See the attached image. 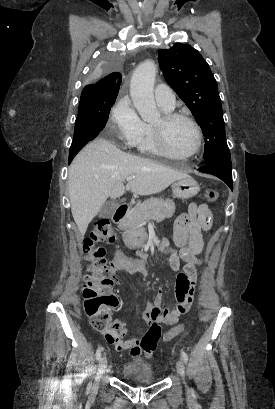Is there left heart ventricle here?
<instances>
[{
    "label": "left heart ventricle",
    "instance_id": "obj_1",
    "mask_svg": "<svg viewBox=\"0 0 275 409\" xmlns=\"http://www.w3.org/2000/svg\"><path fill=\"white\" fill-rule=\"evenodd\" d=\"M169 144L177 154L190 153L195 145V133L192 126L183 120L175 122L169 131Z\"/></svg>",
    "mask_w": 275,
    "mask_h": 409
}]
</instances>
